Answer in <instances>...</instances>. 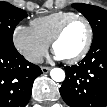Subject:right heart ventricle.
<instances>
[{
	"instance_id": "1",
	"label": "right heart ventricle",
	"mask_w": 107,
	"mask_h": 107,
	"mask_svg": "<svg viewBox=\"0 0 107 107\" xmlns=\"http://www.w3.org/2000/svg\"><path fill=\"white\" fill-rule=\"evenodd\" d=\"M77 15L71 11H57L31 21V28L44 42L50 44L58 28L68 18Z\"/></svg>"
}]
</instances>
